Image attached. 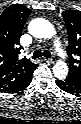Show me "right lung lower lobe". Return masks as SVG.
<instances>
[{
	"label": "right lung lower lobe",
	"instance_id": "98d812e1",
	"mask_svg": "<svg viewBox=\"0 0 81 124\" xmlns=\"http://www.w3.org/2000/svg\"><path fill=\"white\" fill-rule=\"evenodd\" d=\"M37 66L21 82L2 91L6 93H17V92L24 90L31 83L33 72L37 68Z\"/></svg>",
	"mask_w": 81,
	"mask_h": 124
}]
</instances>
